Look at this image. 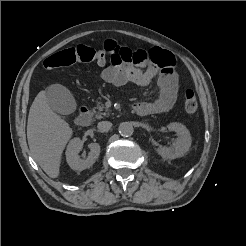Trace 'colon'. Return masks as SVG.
I'll return each mask as SVG.
<instances>
[{
  "label": "colon",
  "mask_w": 246,
  "mask_h": 246,
  "mask_svg": "<svg viewBox=\"0 0 246 246\" xmlns=\"http://www.w3.org/2000/svg\"><path fill=\"white\" fill-rule=\"evenodd\" d=\"M106 61L107 56L104 50L78 45L52 54L44 61V66L47 69H55L69 67L77 63H96L98 65H104ZM184 109L189 115L194 114L198 109L196 95L191 89L185 92Z\"/></svg>",
  "instance_id": "5ec220e1"
}]
</instances>
